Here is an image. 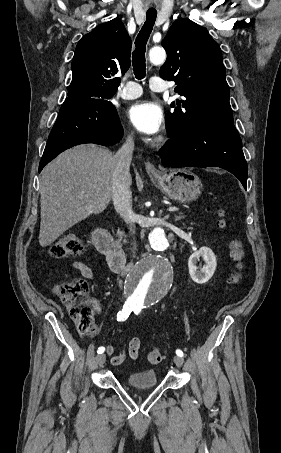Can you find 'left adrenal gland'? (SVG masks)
Segmentation results:
<instances>
[{
	"label": "left adrenal gland",
	"instance_id": "left-adrenal-gland-1",
	"mask_svg": "<svg viewBox=\"0 0 281 453\" xmlns=\"http://www.w3.org/2000/svg\"><path fill=\"white\" fill-rule=\"evenodd\" d=\"M180 218H183V216H176V220H180Z\"/></svg>",
	"mask_w": 281,
	"mask_h": 453
}]
</instances>
